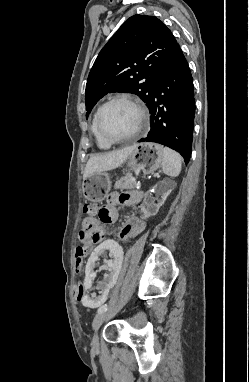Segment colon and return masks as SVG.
Returning <instances> with one entry per match:
<instances>
[{"label":"colon","instance_id":"5ec220e1","mask_svg":"<svg viewBox=\"0 0 249 382\" xmlns=\"http://www.w3.org/2000/svg\"><path fill=\"white\" fill-rule=\"evenodd\" d=\"M83 212L89 218H94V219H98L105 214V212L102 210V207H99L96 203H93V202L84 204ZM84 254H85V251L83 249L76 252V265H75V271H74V274L76 276H79L81 274L82 267H83L82 258ZM82 295H84V286L80 284L77 291V296H76L77 299L80 300Z\"/></svg>","mask_w":249,"mask_h":382}]
</instances>
